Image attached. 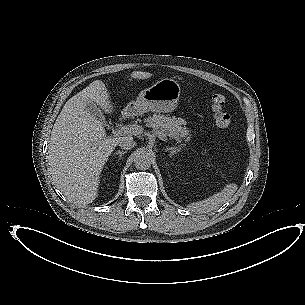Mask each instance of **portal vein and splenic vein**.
<instances>
[{"label": "portal vein and splenic vein", "mask_w": 305, "mask_h": 305, "mask_svg": "<svg viewBox=\"0 0 305 305\" xmlns=\"http://www.w3.org/2000/svg\"><path fill=\"white\" fill-rule=\"evenodd\" d=\"M114 134H120V133H138L137 128L134 126H124L120 129L113 130Z\"/></svg>", "instance_id": "18ae733b"}]
</instances>
